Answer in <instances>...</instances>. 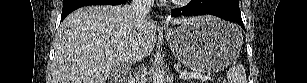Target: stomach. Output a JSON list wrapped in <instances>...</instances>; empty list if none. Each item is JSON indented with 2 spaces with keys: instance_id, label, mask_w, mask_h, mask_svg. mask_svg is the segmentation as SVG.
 <instances>
[{
  "instance_id": "1",
  "label": "stomach",
  "mask_w": 307,
  "mask_h": 83,
  "mask_svg": "<svg viewBox=\"0 0 307 83\" xmlns=\"http://www.w3.org/2000/svg\"><path fill=\"white\" fill-rule=\"evenodd\" d=\"M174 56L200 73L218 72L239 55L242 34L237 26L211 16L190 18L164 33Z\"/></svg>"
}]
</instances>
